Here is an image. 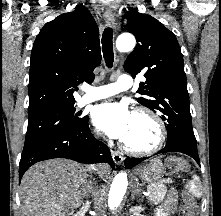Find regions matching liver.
Segmentation results:
<instances>
[{
	"mask_svg": "<svg viewBox=\"0 0 221 216\" xmlns=\"http://www.w3.org/2000/svg\"><path fill=\"white\" fill-rule=\"evenodd\" d=\"M101 177L109 166H96ZM89 168L67 159H51L30 167L20 184L21 216H67L87 194Z\"/></svg>",
	"mask_w": 221,
	"mask_h": 216,
	"instance_id": "1",
	"label": "liver"
}]
</instances>
